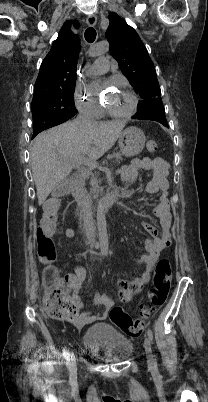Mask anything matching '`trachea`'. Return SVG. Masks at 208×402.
Segmentation results:
<instances>
[{
    "mask_svg": "<svg viewBox=\"0 0 208 402\" xmlns=\"http://www.w3.org/2000/svg\"><path fill=\"white\" fill-rule=\"evenodd\" d=\"M96 38V30L93 27L87 28L85 31V40L89 43H93Z\"/></svg>",
    "mask_w": 208,
    "mask_h": 402,
    "instance_id": "3493384b",
    "label": "trachea"
}]
</instances>
